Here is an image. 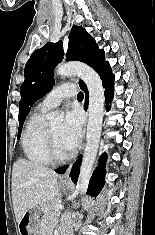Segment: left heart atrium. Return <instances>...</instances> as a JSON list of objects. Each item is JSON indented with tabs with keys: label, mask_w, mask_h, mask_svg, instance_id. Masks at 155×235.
Wrapping results in <instances>:
<instances>
[{
	"label": "left heart atrium",
	"mask_w": 155,
	"mask_h": 235,
	"mask_svg": "<svg viewBox=\"0 0 155 235\" xmlns=\"http://www.w3.org/2000/svg\"><path fill=\"white\" fill-rule=\"evenodd\" d=\"M82 133V117L76 110L67 111L60 130V140L69 151L78 144Z\"/></svg>",
	"instance_id": "left-heart-atrium-1"
}]
</instances>
